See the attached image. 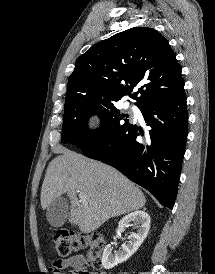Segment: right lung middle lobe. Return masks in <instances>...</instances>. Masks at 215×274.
<instances>
[{
	"mask_svg": "<svg viewBox=\"0 0 215 274\" xmlns=\"http://www.w3.org/2000/svg\"><path fill=\"white\" fill-rule=\"evenodd\" d=\"M115 102H77L65 104L62 143H72L83 151L99 146L127 128L131 122L115 107ZM96 114L101 118L100 127L87 128L88 118Z\"/></svg>",
	"mask_w": 215,
	"mask_h": 274,
	"instance_id": "dd1d6c3e",
	"label": "right lung middle lobe"
}]
</instances>
